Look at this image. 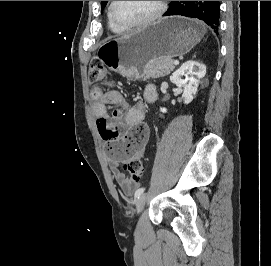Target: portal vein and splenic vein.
<instances>
[{
  "mask_svg": "<svg viewBox=\"0 0 271 266\" xmlns=\"http://www.w3.org/2000/svg\"><path fill=\"white\" fill-rule=\"evenodd\" d=\"M173 64H174V65H178V64H179V61H178V60H175V61L173 62Z\"/></svg>",
  "mask_w": 271,
  "mask_h": 266,
  "instance_id": "portal-vein-and-splenic-vein-1",
  "label": "portal vein and splenic vein"
}]
</instances>
